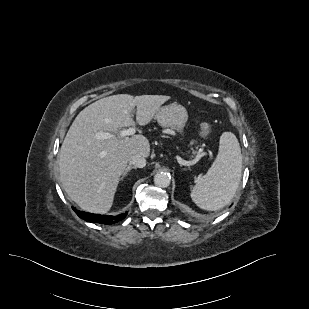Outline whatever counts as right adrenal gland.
<instances>
[{"label": "right adrenal gland", "mask_w": 309, "mask_h": 309, "mask_svg": "<svg viewBox=\"0 0 309 309\" xmlns=\"http://www.w3.org/2000/svg\"><path fill=\"white\" fill-rule=\"evenodd\" d=\"M132 169H136L135 166H131V165H128L127 168L125 169V171L123 172L122 174V177L120 178L121 181H123V179L125 178V176L127 175V173L132 170Z\"/></svg>", "instance_id": "1"}]
</instances>
